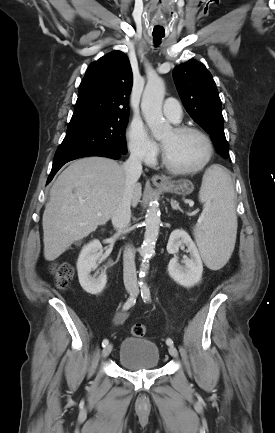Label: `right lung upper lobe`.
Instances as JSON below:
<instances>
[{"label":"right lung upper lobe","mask_w":275,"mask_h":433,"mask_svg":"<svg viewBox=\"0 0 275 433\" xmlns=\"http://www.w3.org/2000/svg\"><path fill=\"white\" fill-rule=\"evenodd\" d=\"M133 84L127 56L113 51L89 65L82 80L74 114L84 117L127 118L128 100Z\"/></svg>","instance_id":"cb5924a9"}]
</instances>
